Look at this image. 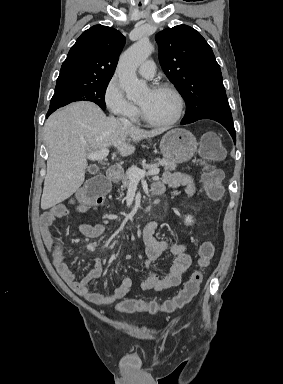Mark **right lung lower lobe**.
Returning a JSON list of instances; mask_svg holds the SVG:
<instances>
[{"instance_id":"98d812e1","label":"right lung lower lobe","mask_w":283,"mask_h":384,"mask_svg":"<svg viewBox=\"0 0 283 384\" xmlns=\"http://www.w3.org/2000/svg\"><path fill=\"white\" fill-rule=\"evenodd\" d=\"M54 111H55V110L49 109V111H48L46 117H48V116H49L51 113H53Z\"/></svg>"}]
</instances>
